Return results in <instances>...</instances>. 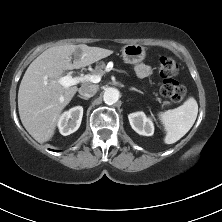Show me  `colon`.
Segmentation results:
<instances>
[{
    "label": "colon",
    "mask_w": 222,
    "mask_h": 222,
    "mask_svg": "<svg viewBox=\"0 0 222 222\" xmlns=\"http://www.w3.org/2000/svg\"><path fill=\"white\" fill-rule=\"evenodd\" d=\"M160 74L163 77L161 94L176 103H180L186 96V89L174 79L179 72V65L170 56H161L158 60Z\"/></svg>",
    "instance_id": "5ec220e1"
}]
</instances>
